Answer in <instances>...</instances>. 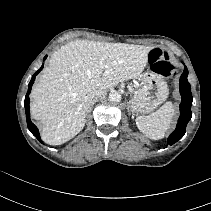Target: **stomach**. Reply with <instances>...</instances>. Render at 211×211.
<instances>
[{
    "instance_id": "0dacf381",
    "label": "stomach",
    "mask_w": 211,
    "mask_h": 211,
    "mask_svg": "<svg viewBox=\"0 0 211 211\" xmlns=\"http://www.w3.org/2000/svg\"><path fill=\"white\" fill-rule=\"evenodd\" d=\"M139 77L142 83L133 93L131 107L136 113H149L167 99L169 89L164 77L150 67Z\"/></svg>"
}]
</instances>
